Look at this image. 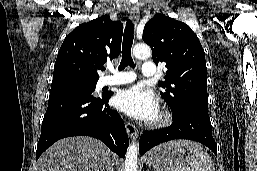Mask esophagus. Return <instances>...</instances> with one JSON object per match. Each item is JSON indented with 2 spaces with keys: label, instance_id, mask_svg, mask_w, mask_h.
<instances>
[{
  "label": "esophagus",
  "instance_id": "obj_1",
  "mask_svg": "<svg viewBox=\"0 0 257 171\" xmlns=\"http://www.w3.org/2000/svg\"><path fill=\"white\" fill-rule=\"evenodd\" d=\"M130 16L133 21L138 20V18L140 16V10L137 5L132 6L131 11H130ZM126 130H127V134L129 135V137L131 139H135L138 136V130L134 124L127 122Z\"/></svg>",
  "mask_w": 257,
  "mask_h": 171
}]
</instances>
